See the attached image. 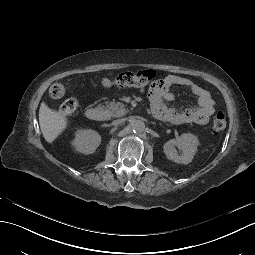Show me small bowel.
<instances>
[{"instance_id": "small-bowel-1", "label": "small bowel", "mask_w": 255, "mask_h": 255, "mask_svg": "<svg viewBox=\"0 0 255 255\" xmlns=\"http://www.w3.org/2000/svg\"><path fill=\"white\" fill-rule=\"evenodd\" d=\"M173 85H179L190 90L197 97L198 105L182 111L163 107V99H172L169 88ZM149 96L152 107L165 108L171 116L169 122L175 124L195 123L205 125L215 113V103L210 92L193 80L179 75H167L163 79L155 81L150 88Z\"/></svg>"}]
</instances>
